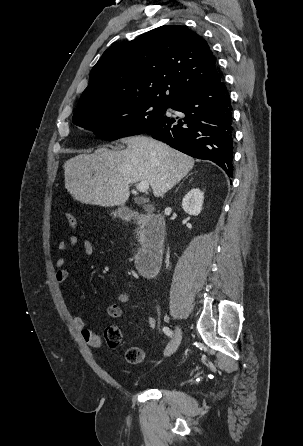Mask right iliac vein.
I'll use <instances>...</instances> for the list:
<instances>
[{"label": "right iliac vein", "mask_w": 303, "mask_h": 446, "mask_svg": "<svg viewBox=\"0 0 303 446\" xmlns=\"http://www.w3.org/2000/svg\"><path fill=\"white\" fill-rule=\"evenodd\" d=\"M182 339V330L177 326L175 335L164 351L165 356L172 355L179 347Z\"/></svg>", "instance_id": "1"}]
</instances>
